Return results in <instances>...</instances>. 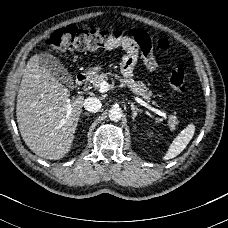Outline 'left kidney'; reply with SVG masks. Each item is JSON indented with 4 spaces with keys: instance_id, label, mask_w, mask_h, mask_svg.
<instances>
[{
    "instance_id": "5707ae66",
    "label": "left kidney",
    "mask_w": 228,
    "mask_h": 228,
    "mask_svg": "<svg viewBox=\"0 0 228 228\" xmlns=\"http://www.w3.org/2000/svg\"><path fill=\"white\" fill-rule=\"evenodd\" d=\"M147 135H148V137H152L153 133L152 132H148Z\"/></svg>"
}]
</instances>
